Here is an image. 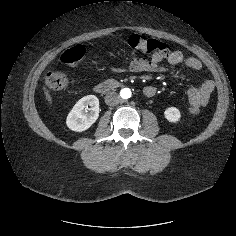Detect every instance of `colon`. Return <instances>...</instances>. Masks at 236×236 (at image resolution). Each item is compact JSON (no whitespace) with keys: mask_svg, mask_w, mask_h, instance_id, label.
Masks as SVG:
<instances>
[{"mask_svg":"<svg viewBox=\"0 0 236 236\" xmlns=\"http://www.w3.org/2000/svg\"><path fill=\"white\" fill-rule=\"evenodd\" d=\"M129 47L147 55H162L167 51L166 45L155 39L143 38L139 35H132L128 39ZM85 48L82 45H76L62 51L60 62L66 65H77L85 56ZM74 83L62 69L52 70L45 77V85L51 90L64 89ZM190 112L197 114L199 108L192 106Z\"/></svg>","mask_w":236,"mask_h":236,"instance_id":"obj_1","label":"colon"}]
</instances>
